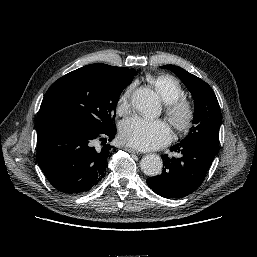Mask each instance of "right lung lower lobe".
<instances>
[{
    "instance_id": "right-lung-lower-lobe-1",
    "label": "right lung lower lobe",
    "mask_w": 257,
    "mask_h": 257,
    "mask_svg": "<svg viewBox=\"0 0 257 257\" xmlns=\"http://www.w3.org/2000/svg\"><path fill=\"white\" fill-rule=\"evenodd\" d=\"M116 126L94 130L73 122H55L37 130V161L48 181L59 191L80 194L105 176ZM102 141V148L94 147Z\"/></svg>"
}]
</instances>
